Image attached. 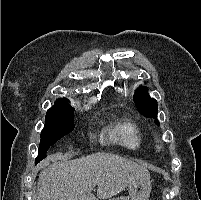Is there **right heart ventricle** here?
Returning <instances> with one entry per match:
<instances>
[{
  "label": "right heart ventricle",
  "mask_w": 201,
  "mask_h": 200,
  "mask_svg": "<svg viewBox=\"0 0 201 200\" xmlns=\"http://www.w3.org/2000/svg\"><path fill=\"white\" fill-rule=\"evenodd\" d=\"M109 137L112 141L130 150H136L142 144L141 130L129 118L116 122L109 130Z\"/></svg>",
  "instance_id": "e07e8e85"
}]
</instances>
